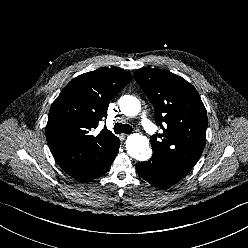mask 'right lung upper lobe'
Returning a JSON list of instances; mask_svg holds the SVG:
<instances>
[{
  "mask_svg": "<svg viewBox=\"0 0 248 248\" xmlns=\"http://www.w3.org/2000/svg\"><path fill=\"white\" fill-rule=\"evenodd\" d=\"M131 80V74L115 68H99L71 80L52 104L46 138L52 155L73 177L85 175L109 152L116 138L103 129L92 135L107 117L111 99Z\"/></svg>",
  "mask_w": 248,
  "mask_h": 248,
  "instance_id": "1",
  "label": "right lung upper lobe"
}]
</instances>
